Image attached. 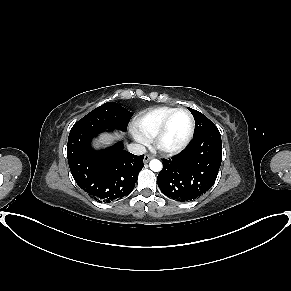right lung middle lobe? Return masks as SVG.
Here are the masks:
<instances>
[{
    "mask_svg": "<svg viewBox=\"0 0 291 291\" xmlns=\"http://www.w3.org/2000/svg\"><path fill=\"white\" fill-rule=\"evenodd\" d=\"M133 113L115 102L105 103L94 109L74 124L71 132L80 130H113L125 131Z\"/></svg>",
    "mask_w": 291,
    "mask_h": 291,
    "instance_id": "obj_1",
    "label": "right lung middle lobe"
}]
</instances>
